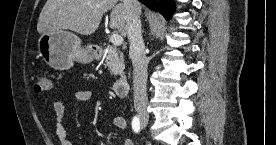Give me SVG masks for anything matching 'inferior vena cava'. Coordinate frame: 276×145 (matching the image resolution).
I'll list each match as a JSON object with an SVG mask.
<instances>
[{"label": "inferior vena cava", "mask_w": 276, "mask_h": 145, "mask_svg": "<svg viewBox=\"0 0 276 145\" xmlns=\"http://www.w3.org/2000/svg\"><path fill=\"white\" fill-rule=\"evenodd\" d=\"M127 9L129 57L133 65L134 108L139 115H147V66L145 46L141 34L140 4L138 0H123Z\"/></svg>", "instance_id": "1"}]
</instances>
